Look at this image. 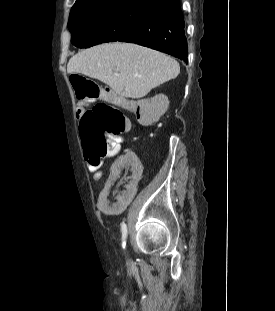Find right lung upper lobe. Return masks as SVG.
Returning <instances> with one entry per match:
<instances>
[{"label": "right lung upper lobe", "instance_id": "right-lung-upper-lobe-1", "mask_svg": "<svg viewBox=\"0 0 275 311\" xmlns=\"http://www.w3.org/2000/svg\"><path fill=\"white\" fill-rule=\"evenodd\" d=\"M79 1H83V0H76V2H79ZM156 1H159L160 3L164 4V3H168L172 0H156Z\"/></svg>", "mask_w": 275, "mask_h": 311}]
</instances>
